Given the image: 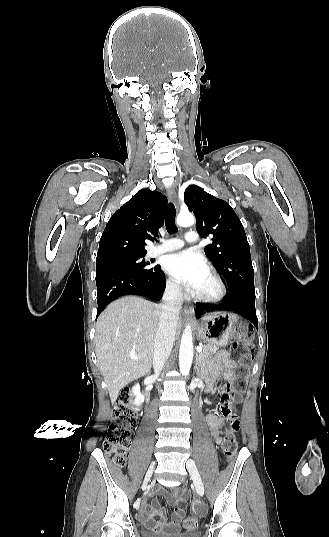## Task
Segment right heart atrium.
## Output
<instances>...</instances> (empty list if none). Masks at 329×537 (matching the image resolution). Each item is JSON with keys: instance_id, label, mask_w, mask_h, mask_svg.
Wrapping results in <instances>:
<instances>
[{"instance_id": "obj_1", "label": "right heart atrium", "mask_w": 329, "mask_h": 537, "mask_svg": "<svg viewBox=\"0 0 329 537\" xmlns=\"http://www.w3.org/2000/svg\"><path fill=\"white\" fill-rule=\"evenodd\" d=\"M166 289L171 295L176 297L179 296L181 293L180 286L172 279H167Z\"/></svg>"}]
</instances>
